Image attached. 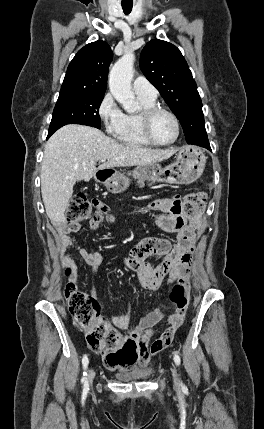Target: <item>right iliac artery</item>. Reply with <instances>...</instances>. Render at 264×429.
I'll return each instance as SVG.
<instances>
[{"instance_id":"82829eb1","label":"right iliac artery","mask_w":264,"mask_h":429,"mask_svg":"<svg viewBox=\"0 0 264 429\" xmlns=\"http://www.w3.org/2000/svg\"><path fill=\"white\" fill-rule=\"evenodd\" d=\"M88 362L89 361H88L87 355H84L83 359H82V364H83L84 370L87 369ZM81 381L84 383V391H87L89 385H88V381H87V373H86V371H84V374H83V377H82Z\"/></svg>"}]
</instances>
